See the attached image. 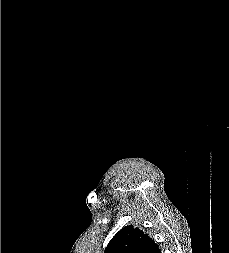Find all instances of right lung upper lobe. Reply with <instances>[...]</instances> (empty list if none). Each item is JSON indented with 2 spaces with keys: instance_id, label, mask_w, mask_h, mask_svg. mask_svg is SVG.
<instances>
[{
  "instance_id": "right-lung-upper-lobe-1",
  "label": "right lung upper lobe",
  "mask_w": 229,
  "mask_h": 253,
  "mask_svg": "<svg viewBox=\"0 0 229 253\" xmlns=\"http://www.w3.org/2000/svg\"><path fill=\"white\" fill-rule=\"evenodd\" d=\"M104 253H161L158 244L133 225L122 228L109 242Z\"/></svg>"
}]
</instances>
